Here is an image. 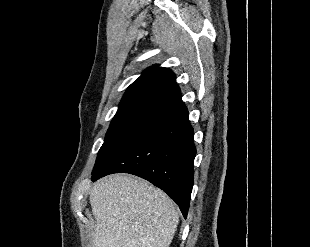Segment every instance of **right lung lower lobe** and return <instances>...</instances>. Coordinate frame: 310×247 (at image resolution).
<instances>
[{
    "label": "right lung lower lobe",
    "instance_id": "1",
    "mask_svg": "<svg viewBox=\"0 0 310 247\" xmlns=\"http://www.w3.org/2000/svg\"><path fill=\"white\" fill-rule=\"evenodd\" d=\"M188 110L181 101L147 121L99 169L95 181L125 172L142 177L165 191L186 218L193 187L196 148Z\"/></svg>",
    "mask_w": 310,
    "mask_h": 247
}]
</instances>
